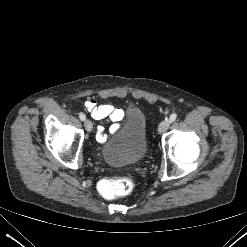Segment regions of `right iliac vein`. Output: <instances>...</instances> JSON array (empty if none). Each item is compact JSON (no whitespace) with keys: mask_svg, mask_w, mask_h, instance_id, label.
<instances>
[{"mask_svg":"<svg viewBox=\"0 0 247 247\" xmlns=\"http://www.w3.org/2000/svg\"><path fill=\"white\" fill-rule=\"evenodd\" d=\"M84 127L88 132H91L93 129V124L90 120L87 119L84 121Z\"/></svg>","mask_w":247,"mask_h":247,"instance_id":"63e3f726","label":"right iliac vein"}]
</instances>
